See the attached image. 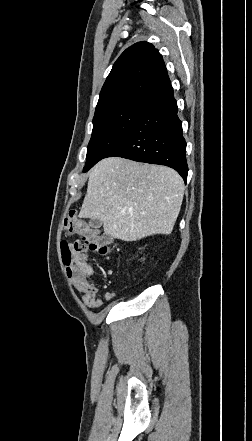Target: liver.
Returning <instances> with one entry per match:
<instances>
[{"mask_svg":"<svg viewBox=\"0 0 252 441\" xmlns=\"http://www.w3.org/2000/svg\"><path fill=\"white\" fill-rule=\"evenodd\" d=\"M184 190L183 179L169 167L105 158L89 173L79 217L99 219L106 235L123 241L167 235L177 220Z\"/></svg>","mask_w":252,"mask_h":441,"instance_id":"obj_1","label":"liver"}]
</instances>
